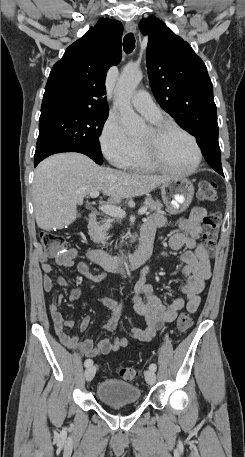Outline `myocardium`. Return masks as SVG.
Here are the masks:
<instances>
[{"instance_id":"obj_1","label":"myocardium","mask_w":245,"mask_h":457,"mask_svg":"<svg viewBox=\"0 0 245 457\" xmlns=\"http://www.w3.org/2000/svg\"><path fill=\"white\" fill-rule=\"evenodd\" d=\"M151 129L153 130L157 140H161L170 131H179L182 134H184L191 141V144H192L191 146L195 153V161H194V164L188 169L170 168V167H167V166L161 164L160 162L152 159L148 155L145 146L142 143L138 142L137 145H138L139 156L148 167L153 168L155 170H159V171L181 174V175H187V174L193 173L198 168V166L201 162V159H202V153L198 146L196 138L190 132H188L186 129H184L180 125H178L172 121H169V120L157 121L156 123H154L151 126Z\"/></svg>"}]
</instances>
